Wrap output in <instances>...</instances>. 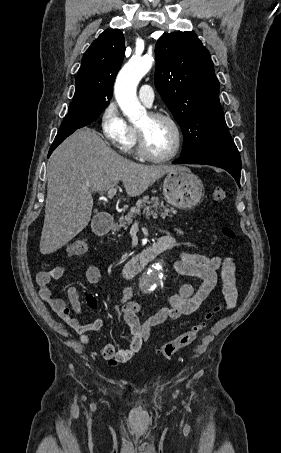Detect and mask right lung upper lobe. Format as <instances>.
I'll return each instance as SVG.
<instances>
[{
    "label": "right lung upper lobe",
    "instance_id": "right-lung-upper-lobe-1",
    "mask_svg": "<svg viewBox=\"0 0 281 453\" xmlns=\"http://www.w3.org/2000/svg\"><path fill=\"white\" fill-rule=\"evenodd\" d=\"M125 55V40L118 29L104 31L82 58L76 90L69 107L105 108L112 97L113 81Z\"/></svg>",
    "mask_w": 281,
    "mask_h": 453
}]
</instances>
